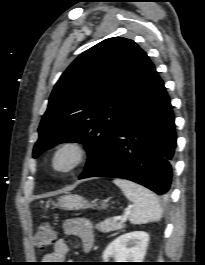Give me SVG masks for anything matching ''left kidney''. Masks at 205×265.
<instances>
[{"mask_svg":"<svg viewBox=\"0 0 205 265\" xmlns=\"http://www.w3.org/2000/svg\"><path fill=\"white\" fill-rule=\"evenodd\" d=\"M149 242V234L134 231L113 240L103 252L104 262L114 257L115 262H142Z\"/></svg>","mask_w":205,"mask_h":265,"instance_id":"left-kidney-1","label":"left kidney"}]
</instances>
